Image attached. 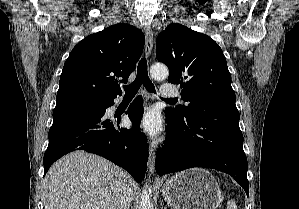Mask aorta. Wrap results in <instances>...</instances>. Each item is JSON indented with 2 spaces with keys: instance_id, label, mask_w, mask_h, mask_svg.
Returning <instances> with one entry per match:
<instances>
[{
  "instance_id": "obj_1",
  "label": "aorta",
  "mask_w": 299,
  "mask_h": 209,
  "mask_svg": "<svg viewBox=\"0 0 299 209\" xmlns=\"http://www.w3.org/2000/svg\"><path fill=\"white\" fill-rule=\"evenodd\" d=\"M150 74L152 78L156 80H163L166 79L168 76V69L165 65L156 64L151 67ZM150 194H151V189L146 186L143 189L141 194L139 209H154L150 199Z\"/></svg>"
}]
</instances>
